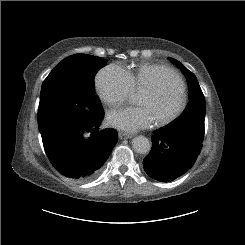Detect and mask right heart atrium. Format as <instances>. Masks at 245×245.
Returning <instances> with one entry per match:
<instances>
[{"label": "right heart atrium", "mask_w": 245, "mask_h": 245, "mask_svg": "<svg viewBox=\"0 0 245 245\" xmlns=\"http://www.w3.org/2000/svg\"><path fill=\"white\" fill-rule=\"evenodd\" d=\"M94 85L98 96L107 105H116L133 92L127 71L118 64H109L95 75Z\"/></svg>", "instance_id": "obj_1"}]
</instances>
